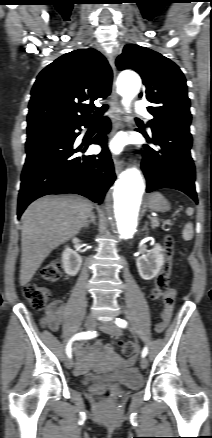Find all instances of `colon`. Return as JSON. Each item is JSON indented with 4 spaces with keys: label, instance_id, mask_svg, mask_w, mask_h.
<instances>
[{
    "label": "colon",
    "instance_id": "1",
    "mask_svg": "<svg viewBox=\"0 0 212 438\" xmlns=\"http://www.w3.org/2000/svg\"><path fill=\"white\" fill-rule=\"evenodd\" d=\"M173 250L174 240L171 236H167L164 243V263L149 291V298L151 300L164 296L169 290ZM60 275L61 265L57 260L50 261L41 270V278L50 283L56 282ZM24 295L34 309L40 310L45 307L50 298V289L41 284L30 283L25 286ZM120 346L124 355L130 356L135 352V345L132 342H122ZM98 395L104 399H109L112 397V392L104 390L99 392Z\"/></svg>",
    "mask_w": 212,
    "mask_h": 438
}]
</instances>
